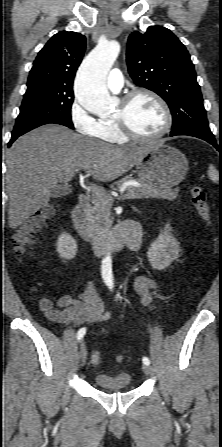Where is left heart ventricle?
Wrapping results in <instances>:
<instances>
[{
    "label": "left heart ventricle",
    "mask_w": 222,
    "mask_h": 447,
    "mask_svg": "<svg viewBox=\"0 0 222 447\" xmlns=\"http://www.w3.org/2000/svg\"><path fill=\"white\" fill-rule=\"evenodd\" d=\"M119 105L116 114L120 112ZM127 120L133 130L141 135H154L164 125L161 107L149 96L139 95L133 99L126 111Z\"/></svg>",
    "instance_id": "1"
}]
</instances>
